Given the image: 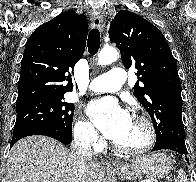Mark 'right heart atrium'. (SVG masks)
<instances>
[{
	"mask_svg": "<svg viewBox=\"0 0 196 182\" xmlns=\"http://www.w3.org/2000/svg\"><path fill=\"white\" fill-rule=\"evenodd\" d=\"M75 139L86 148H98L101 145L99 137L94 125L83 118L77 120L73 129Z\"/></svg>",
	"mask_w": 196,
	"mask_h": 182,
	"instance_id": "d8ad5b80",
	"label": "right heart atrium"
}]
</instances>
